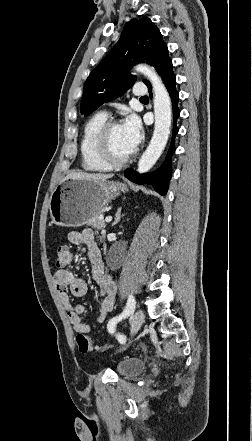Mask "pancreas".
<instances>
[{
  "label": "pancreas",
  "instance_id": "pancreas-1",
  "mask_svg": "<svg viewBox=\"0 0 252 441\" xmlns=\"http://www.w3.org/2000/svg\"><path fill=\"white\" fill-rule=\"evenodd\" d=\"M88 225L96 228V229H103L105 228V221L100 217V215L93 216L88 220Z\"/></svg>",
  "mask_w": 252,
  "mask_h": 441
}]
</instances>
